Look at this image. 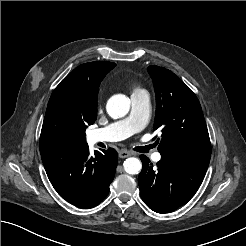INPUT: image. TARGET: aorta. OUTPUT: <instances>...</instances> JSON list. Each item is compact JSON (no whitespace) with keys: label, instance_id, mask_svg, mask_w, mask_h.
<instances>
[{"label":"aorta","instance_id":"aorta-1","mask_svg":"<svg viewBox=\"0 0 246 246\" xmlns=\"http://www.w3.org/2000/svg\"><path fill=\"white\" fill-rule=\"evenodd\" d=\"M107 112L115 118L124 117L130 109V100L125 95H115L111 97L107 103ZM126 173L134 175L138 174L142 169V163L138 158H127L124 163Z\"/></svg>","mask_w":246,"mask_h":246}]
</instances>
